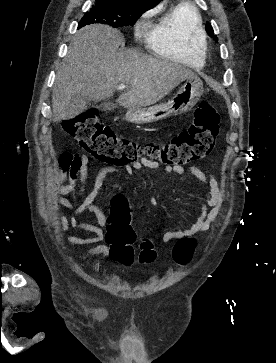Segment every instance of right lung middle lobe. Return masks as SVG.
<instances>
[{"label":"right lung middle lobe","mask_w":276,"mask_h":363,"mask_svg":"<svg viewBox=\"0 0 276 363\" xmlns=\"http://www.w3.org/2000/svg\"><path fill=\"white\" fill-rule=\"evenodd\" d=\"M151 6L147 4H120L96 1L81 18L78 28L89 24H107L112 27L134 25L137 19Z\"/></svg>","instance_id":"dd1d6c3e"}]
</instances>
